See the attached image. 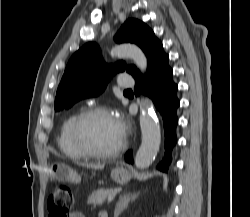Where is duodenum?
<instances>
[{
	"label": "duodenum",
	"instance_id": "obj_1",
	"mask_svg": "<svg viewBox=\"0 0 250 217\" xmlns=\"http://www.w3.org/2000/svg\"><path fill=\"white\" fill-rule=\"evenodd\" d=\"M99 217H108V214L106 212H102Z\"/></svg>",
	"mask_w": 250,
	"mask_h": 217
}]
</instances>
